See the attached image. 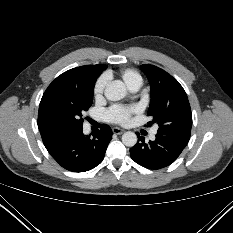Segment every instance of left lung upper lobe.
<instances>
[{
    "label": "left lung upper lobe",
    "instance_id": "5c2ea615",
    "mask_svg": "<svg viewBox=\"0 0 233 233\" xmlns=\"http://www.w3.org/2000/svg\"><path fill=\"white\" fill-rule=\"evenodd\" d=\"M151 86L148 115L159 125L158 134L190 139L192 113L183 87L164 70L142 65ZM149 124V123H148Z\"/></svg>",
    "mask_w": 233,
    "mask_h": 233
}]
</instances>
